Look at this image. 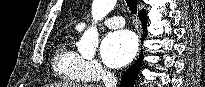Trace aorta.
I'll use <instances>...</instances> for the list:
<instances>
[{"label":"aorta","instance_id":"762f6f07","mask_svg":"<svg viewBox=\"0 0 205 87\" xmlns=\"http://www.w3.org/2000/svg\"><path fill=\"white\" fill-rule=\"evenodd\" d=\"M117 0H93L92 17L95 22L103 19L115 7ZM99 36L95 26L88 28L82 35L78 49L87 54H94L98 47Z\"/></svg>","mask_w":205,"mask_h":87}]
</instances>
